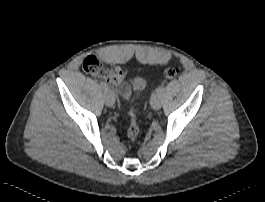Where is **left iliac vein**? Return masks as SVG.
Here are the masks:
<instances>
[{
    "instance_id": "1",
    "label": "left iliac vein",
    "mask_w": 265,
    "mask_h": 202,
    "mask_svg": "<svg viewBox=\"0 0 265 202\" xmlns=\"http://www.w3.org/2000/svg\"><path fill=\"white\" fill-rule=\"evenodd\" d=\"M151 107L154 109V110H159L161 108V96L159 95H154V97L152 98L151 100Z\"/></svg>"
}]
</instances>
